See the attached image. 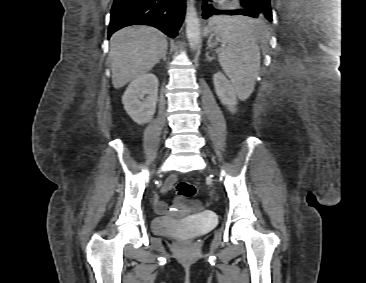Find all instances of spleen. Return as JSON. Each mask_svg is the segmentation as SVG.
Instances as JSON below:
<instances>
[{
    "instance_id": "spleen-1",
    "label": "spleen",
    "mask_w": 366,
    "mask_h": 283,
    "mask_svg": "<svg viewBox=\"0 0 366 283\" xmlns=\"http://www.w3.org/2000/svg\"><path fill=\"white\" fill-rule=\"evenodd\" d=\"M211 30H218L226 45L218 49L222 70L230 79L238 97L247 99L254 90L260 68L258 41L264 34L263 25L257 20L216 16L211 20L207 32Z\"/></svg>"
}]
</instances>
